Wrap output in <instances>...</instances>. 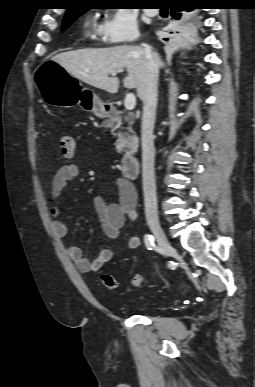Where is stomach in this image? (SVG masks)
<instances>
[{"label":"stomach","mask_w":255,"mask_h":387,"mask_svg":"<svg viewBox=\"0 0 255 387\" xmlns=\"http://www.w3.org/2000/svg\"><path fill=\"white\" fill-rule=\"evenodd\" d=\"M38 91L43 100L61 108L79 105L85 111H91L98 117H106L104 103L90 89L83 87L62 66L53 60L43 66H34Z\"/></svg>","instance_id":"1"}]
</instances>
